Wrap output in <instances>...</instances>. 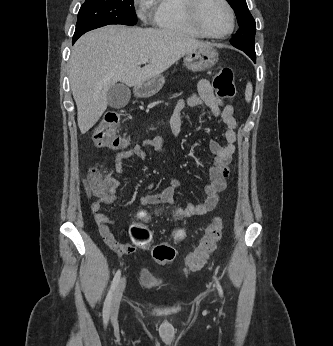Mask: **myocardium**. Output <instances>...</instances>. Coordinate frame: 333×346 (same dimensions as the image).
Returning a JSON list of instances; mask_svg holds the SVG:
<instances>
[{
	"label": "myocardium",
	"instance_id": "obj_1",
	"mask_svg": "<svg viewBox=\"0 0 333 346\" xmlns=\"http://www.w3.org/2000/svg\"><path fill=\"white\" fill-rule=\"evenodd\" d=\"M206 0H185L186 2V10L189 17L190 22L194 26V28L203 36L210 37L213 39H224L231 35L235 29V13L227 0H219L227 9L230 18V26L227 31L222 34H214L206 30L203 26L200 18V10L202 5Z\"/></svg>",
	"mask_w": 333,
	"mask_h": 346
}]
</instances>
